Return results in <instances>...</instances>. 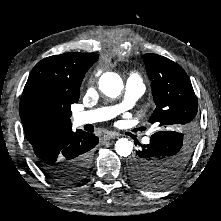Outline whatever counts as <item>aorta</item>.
<instances>
[{
	"label": "aorta",
	"instance_id": "762f6f07",
	"mask_svg": "<svg viewBox=\"0 0 221 221\" xmlns=\"http://www.w3.org/2000/svg\"><path fill=\"white\" fill-rule=\"evenodd\" d=\"M99 88L106 96L116 98L123 90V81L118 74L107 72L100 77ZM132 150L133 144L127 138H120L115 143V151L122 157L129 156Z\"/></svg>",
	"mask_w": 221,
	"mask_h": 221
}]
</instances>
